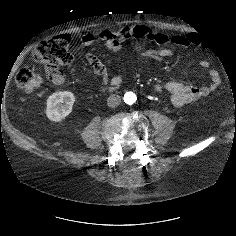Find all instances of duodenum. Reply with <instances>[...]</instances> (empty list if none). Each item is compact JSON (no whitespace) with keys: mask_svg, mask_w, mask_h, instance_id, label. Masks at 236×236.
Masks as SVG:
<instances>
[{"mask_svg":"<svg viewBox=\"0 0 236 236\" xmlns=\"http://www.w3.org/2000/svg\"><path fill=\"white\" fill-rule=\"evenodd\" d=\"M118 86H119V83H113L112 85H109V86L105 87L104 90L113 91V90L117 89Z\"/></svg>","mask_w":236,"mask_h":236,"instance_id":"obj_1","label":"duodenum"}]
</instances>
